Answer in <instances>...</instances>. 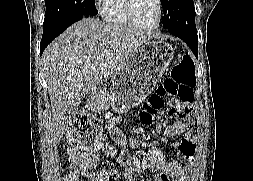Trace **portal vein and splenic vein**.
I'll use <instances>...</instances> for the list:
<instances>
[{"label":"portal vein and splenic vein","instance_id":"portal-vein-and-splenic-vein-1","mask_svg":"<svg viewBox=\"0 0 253 181\" xmlns=\"http://www.w3.org/2000/svg\"><path fill=\"white\" fill-rule=\"evenodd\" d=\"M113 56H114V53H112V52H107L106 53L107 58H112Z\"/></svg>","mask_w":253,"mask_h":181}]
</instances>
